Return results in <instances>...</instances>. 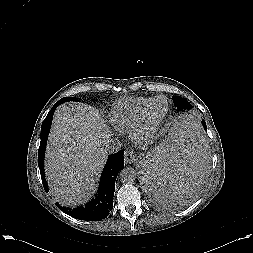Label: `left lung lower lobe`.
I'll use <instances>...</instances> for the list:
<instances>
[{
	"instance_id": "0a47b994",
	"label": "left lung lower lobe",
	"mask_w": 253,
	"mask_h": 253,
	"mask_svg": "<svg viewBox=\"0 0 253 253\" xmlns=\"http://www.w3.org/2000/svg\"><path fill=\"white\" fill-rule=\"evenodd\" d=\"M206 129L205 121H202ZM206 156L198 146L176 148L174 155L154 154L143 181L152 202L161 207L173 206L190 199L202 180Z\"/></svg>"
}]
</instances>
